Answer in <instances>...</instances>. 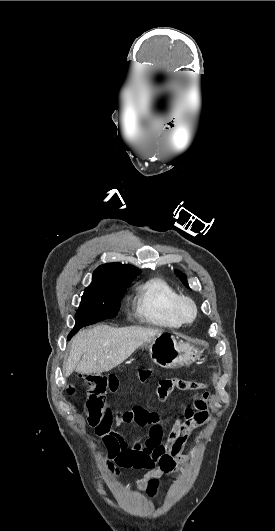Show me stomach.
<instances>
[{"instance_id": "obj_1", "label": "stomach", "mask_w": 275, "mask_h": 531, "mask_svg": "<svg viewBox=\"0 0 275 531\" xmlns=\"http://www.w3.org/2000/svg\"><path fill=\"white\" fill-rule=\"evenodd\" d=\"M142 347L148 349L153 363L163 367V369L189 367L200 357L199 349H195L189 343H178L171 333L155 335L146 341Z\"/></svg>"}]
</instances>
